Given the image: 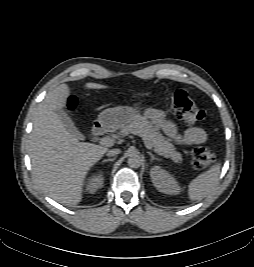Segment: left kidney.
Listing matches in <instances>:
<instances>
[{
	"instance_id": "1",
	"label": "left kidney",
	"mask_w": 254,
	"mask_h": 267,
	"mask_svg": "<svg viewBox=\"0 0 254 267\" xmlns=\"http://www.w3.org/2000/svg\"><path fill=\"white\" fill-rule=\"evenodd\" d=\"M150 177L158 191L169 195L179 194L180 186L176 179L160 166L151 168Z\"/></svg>"
}]
</instances>
